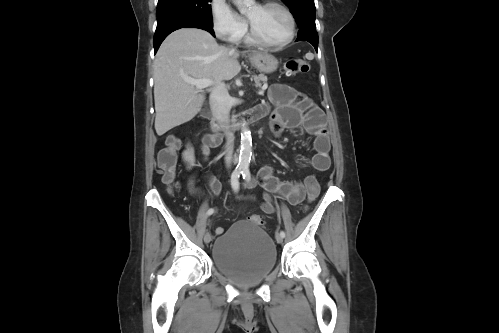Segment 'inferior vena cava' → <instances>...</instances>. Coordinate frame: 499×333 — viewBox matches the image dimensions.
I'll return each instance as SVG.
<instances>
[{"label":"inferior vena cava","mask_w":499,"mask_h":333,"mask_svg":"<svg viewBox=\"0 0 499 333\" xmlns=\"http://www.w3.org/2000/svg\"><path fill=\"white\" fill-rule=\"evenodd\" d=\"M210 107L213 116L225 127L229 124V113L231 109L230 95L223 82H218L210 94ZM227 142L229 144L225 160L227 166H230L233 154V134L226 132Z\"/></svg>","instance_id":"1"}]
</instances>
